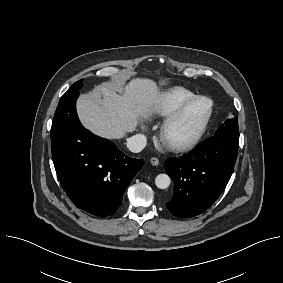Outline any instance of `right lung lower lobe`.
<instances>
[{"instance_id":"right-lung-lower-lobe-1","label":"right lung lower lobe","mask_w":283,"mask_h":283,"mask_svg":"<svg viewBox=\"0 0 283 283\" xmlns=\"http://www.w3.org/2000/svg\"><path fill=\"white\" fill-rule=\"evenodd\" d=\"M79 92L62 97L52 127V158L56 173L71 201L99 216L112 215L144 164L124 155L109 140L86 130L76 112Z\"/></svg>"}]
</instances>
